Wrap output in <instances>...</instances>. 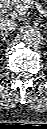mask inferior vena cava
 Listing matches in <instances>:
<instances>
[{
	"label": "inferior vena cava",
	"mask_w": 47,
	"mask_h": 129,
	"mask_svg": "<svg viewBox=\"0 0 47 129\" xmlns=\"http://www.w3.org/2000/svg\"><path fill=\"white\" fill-rule=\"evenodd\" d=\"M17 27V24L11 19H2L0 22V30L6 32H13Z\"/></svg>",
	"instance_id": "1"
}]
</instances>
